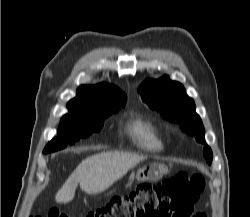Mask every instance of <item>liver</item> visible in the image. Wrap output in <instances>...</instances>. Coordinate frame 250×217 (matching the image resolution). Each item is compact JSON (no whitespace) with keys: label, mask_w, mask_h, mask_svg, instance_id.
<instances>
[{"label":"liver","mask_w":250,"mask_h":217,"mask_svg":"<svg viewBox=\"0 0 250 217\" xmlns=\"http://www.w3.org/2000/svg\"><path fill=\"white\" fill-rule=\"evenodd\" d=\"M144 159V156L124 152H106L90 156L68 177L55 195V201H72L78 184L87 194L101 193Z\"/></svg>","instance_id":"1"}]
</instances>
